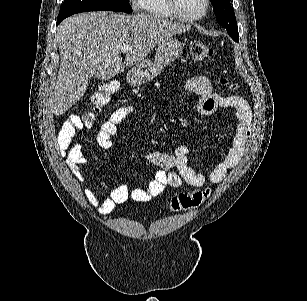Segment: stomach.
I'll use <instances>...</instances> for the list:
<instances>
[{"label": "stomach", "mask_w": 307, "mask_h": 301, "mask_svg": "<svg viewBox=\"0 0 307 301\" xmlns=\"http://www.w3.org/2000/svg\"><path fill=\"white\" fill-rule=\"evenodd\" d=\"M184 48L183 42H180L178 38H166L157 44L155 48L154 60L151 58H145L141 60L136 66H132L127 72L126 80L132 86H140L145 84L149 80L156 78L163 70L164 66L173 62L175 58H178L182 54Z\"/></svg>", "instance_id": "obj_1"}]
</instances>
